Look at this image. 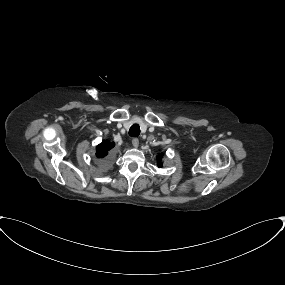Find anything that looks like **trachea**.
<instances>
[{"label": "trachea", "instance_id": "1", "mask_svg": "<svg viewBox=\"0 0 285 285\" xmlns=\"http://www.w3.org/2000/svg\"><path fill=\"white\" fill-rule=\"evenodd\" d=\"M140 134V126L138 124H134L129 129V135L131 137H138Z\"/></svg>", "mask_w": 285, "mask_h": 285}]
</instances>
